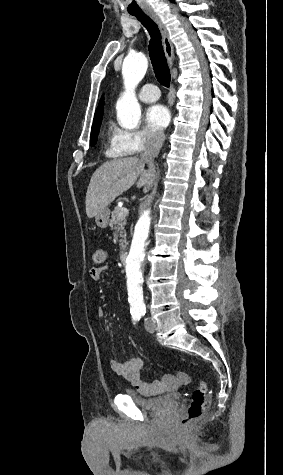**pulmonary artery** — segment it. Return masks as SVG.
<instances>
[{
	"label": "pulmonary artery",
	"mask_w": 283,
	"mask_h": 475,
	"mask_svg": "<svg viewBox=\"0 0 283 475\" xmlns=\"http://www.w3.org/2000/svg\"><path fill=\"white\" fill-rule=\"evenodd\" d=\"M126 90H135V89H126ZM141 92H142V95L139 96V99L141 101H143V102H154L158 99L156 96L159 95L160 90L154 84H147L142 88L140 93Z\"/></svg>",
	"instance_id": "1"
}]
</instances>
